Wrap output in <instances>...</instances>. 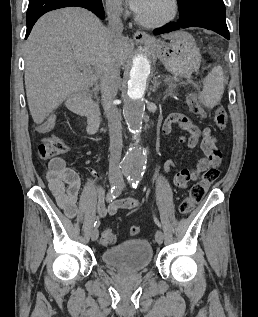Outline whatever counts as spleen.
Returning a JSON list of instances; mask_svg holds the SVG:
<instances>
[{"label":"spleen","mask_w":258,"mask_h":317,"mask_svg":"<svg viewBox=\"0 0 258 317\" xmlns=\"http://www.w3.org/2000/svg\"><path fill=\"white\" fill-rule=\"evenodd\" d=\"M224 92V72L222 66H214L211 72L204 78V88L199 92V100L208 106L213 108L216 104H219L222 94Z\"/></svg>","instance_id":"1"}]
</instances>
